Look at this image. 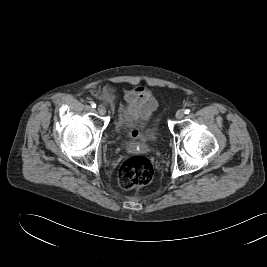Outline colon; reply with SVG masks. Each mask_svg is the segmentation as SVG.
Listing matches in <instances>:
<instances>
[{
  "instance_id": "obj_1",
  "label": "colon",
  "mask_w": 267,
  "mask_h": 267,
  "mask_svg": "<svg viewBox=\"0 0 267 267\" xmlns=\"http://www.w3.org/2000/svg\"><path fill=\"white\" fill-rule=\"evenodd\" d=\"M128 136L145 141L143 135L132 129ZM154 177V167L151 161L143 156H134L123 162L118 172V184L124 190H131L149 184Z\"/></svg>"
}]
</instances>
